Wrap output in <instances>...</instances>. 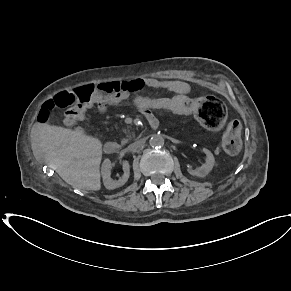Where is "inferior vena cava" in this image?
I'll return each instance as SVG.
<instances>
[{
    "label": "inferior vena cava",
    "mask_w": 291,
    "mask_h": 291,
    "mask_svg": "<svg viewBox=\"0 0 291 291\" xmlns=\"http://www.w3.org/2000/svg\"><path fill=\"white\" fill-rule=\"evenodd\" d=\"M143 144H144V140H138V141L130 144L129 149H131V150L139 149L140 147H142Z\"/></svg>",
    "instance_id": "1"
}]
</instances>
